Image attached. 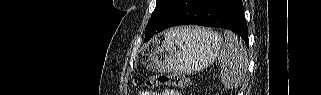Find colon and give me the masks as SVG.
Listing matches in <instances>:
<instances>
[{
  "instance_id": "1",
  "label": "colon",
  "mask_w": 321,
  "mask_h": 95,
  "mask_svg": "<svg viewBox=\"0 0 321 95\" xmlns=\"http://www.w3.org/2000/svg\"><path fill=\"white\" fill-rule=\"evenodd\" d=\"M145 85L151 88L163 85L186 88L191 85V80L188 77L180 74H158L146 79Z\"/></svg>"
}]
</instances>
